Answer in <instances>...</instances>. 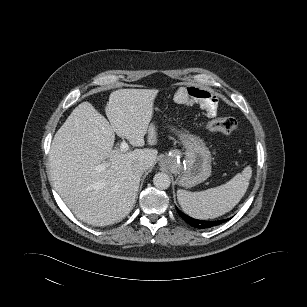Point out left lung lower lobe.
I'll use <instances>...</instances> for the list:
<instances>
[{
	"label": "left lung lower lobe",
	"instance_id": "obj_1",
	"mask_svg": "<svg viewBox=\"0 0 307 307\" xmlns=\"http://www.w3.org/2000/svg\"><path fill=\"white\" fill-rule=\"evenodd\" d=\"M177 212L189 225H191L195 228H199V229L217 226V225H219V224L228 220V219H226V220H220V221H203V220L193 219V218L185 215L178 208H177Z\"/></svg>",
	"mask_w": 307,
	"mask_h": 307
}]
</instances>
